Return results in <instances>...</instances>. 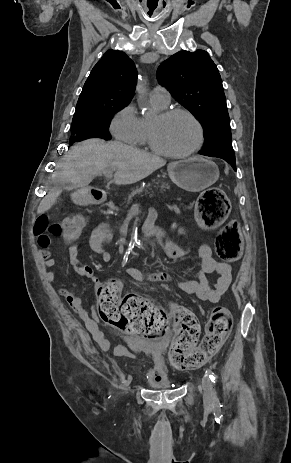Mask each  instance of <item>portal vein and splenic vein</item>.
Returning <instances> with one entry per match:
<instances>
[{
    "label": "portal vein and splenic vein",
    "instance_id": "1",
    "mask_svg": "<svg viewBox=\"0 0 291 463\" xmlns=\"http://www.w3.org/2000/svg\"><path fill=\"white\" fill-rule=\"evenodd\" d=\"M104 173H105V175H106L107 177H109V178L112 177L111 171H106V172H104ZM133 207H134V208H138L139 205H138V204H134Z\"/></svg>",
    "mask_w": 291,
    "mask_h": 463
}]
</instances>
